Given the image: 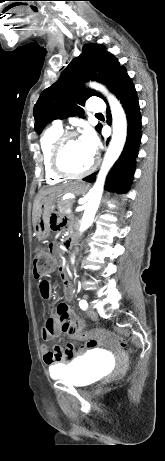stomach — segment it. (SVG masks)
<instances>
[{"mask_svg":"<svg viewBox=\"0 0 165 461\" xmlns=\"http://www.w3.org/2000/svg\"><path fill=\"white\" fill-rule=\"evenodd\" d=\"M86 185L81 182H75L71 186V192L75 194H84L86 192ZM57 196L55 194L45 196L40 205V212L37 224L35 226V232L39 240H45L50 234V221L48 219L49 214H52L55 208Z\"/></svg>","mask_w":165,"mask_h":461,"instance_id":"1","label":"stomach"}]
</instances>
